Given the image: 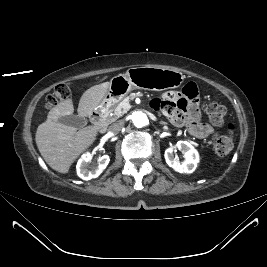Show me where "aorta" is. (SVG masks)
Returning <instances> with one entry per match:
<instances>
[{
	"instance_id": "aorta-1",
	"label": "aorta",
	"mask_w": 267,
	"mask_h": 267,
	"mask_svg": "<svg viewBox=\"0 0 267 267\" xmlns=\"http://www.w3.org/2000/svg\"><path fill=\"white\" fill-rule=\"evenodd\" d=\"M132 123L137 128H142L148 124V117L142 111H136L132 114Z\"/></svg>"
}]
</instances>
